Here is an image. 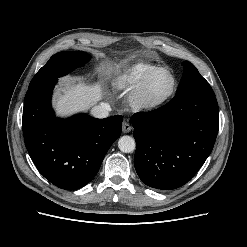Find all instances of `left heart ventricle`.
<instances>
[{
	"label": "left heart ventricle",
	"mask_w": 247,
	"mask_h": 247,
	"mask_svg": "<svg viewBox=\"0 0 247 247\" xmlns=\"http://www.w3.org/2000/svg\"><path fill=\"white\" fill-rule=\"evenodd\" d=\"M172 79L168 73L159 71L152 74L147 80L143 96L147 100H158L164 97L171 89Z\"/></svg>",
	"instance_id": "1"
}]
</instances>
